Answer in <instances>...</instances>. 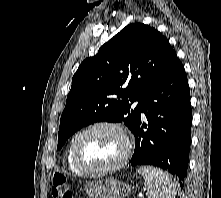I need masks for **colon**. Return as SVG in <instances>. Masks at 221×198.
Returning <instances> with one entry per match:
<instances>
[{"label":"colon","instance_id":"obj_1","mask_svg":"<svg viewBox=\"0 0 221 198\" xmlns=\"http://www.w3.org/2000/svg\"><path fill=\"white\" fill-rule=\"evenodd\" d=\"M53 198H73V193L66 178L62 175H57L53 179L52 187Z\"/></svg>","mask_w":221,"mask_h":198}]
</instances>
